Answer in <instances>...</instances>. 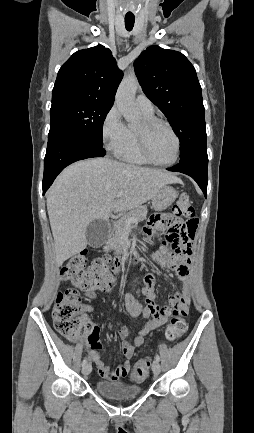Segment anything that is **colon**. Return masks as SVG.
I'll return each instance as SVG.
<instances>
[{"instance_id": "5ec220e1", "label": "colon", "mask_w": 254, "mask_h": 433, "mask_svg": "<svg viewBox=\"0 0 254 433\" xmlns=\"http://www.w3.org/2000/svg\"><path fill=\"white\" fill-rule=\"evenodd\" d=\"M169 218L163 253L170 257L189 255L199 221L187 194L179 197ZM87 263V253L81 252L68 259L63 265L61 275L69 283V288L59 292L52 311L56 331L71 341L76 340L84 331L88 332L90 337L93 329L83 317L84 307L80 291L93 292L115 275L114 262L107 256L95 259L90 265ZM170 314L171 319L165 329V338L168 342H175L187 330V304L172 306ZM150 366V359L140 360L133 368L130 380L144 381L149 375Z\"/></svg>"}]
</instances>
